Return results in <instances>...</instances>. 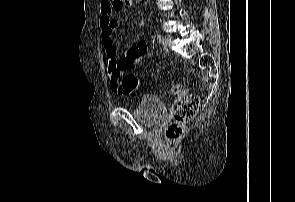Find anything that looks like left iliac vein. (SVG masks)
Instances as JSON below:
<instances>
[{
  "instance_id": "obj_1",
  "label": "left iliac vein",
  "mask_w": 295,
  "mask_h": 202,
  "mask_svg": "<svg viewBox=\"0 0 295 202\" xmlns=\"http://www.w3.org/2000/svg\"><path fill=\"white\" fill-rule=\"evenodd\" d=\"M171 40H172V37L170 35L164 36L162 41V45L164 46V48H167L169 46Z\"/></svg>"
}]
</instances>
